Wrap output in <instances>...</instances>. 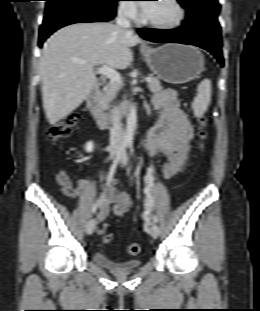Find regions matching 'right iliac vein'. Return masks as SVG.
<instances>
[{
  "label": "right iliac vein",
  "instance_id": "1",
  "mask_svg": "<svg viewBox=\"0 0 260 311\" xmlns=\"http://www.w3.org/2000/svg\"><path fill=\"white\" fill-rule=\"evenodd\" d=\"M118 148L117 147H112L111 153H110V159H115L116 154H117ZM96 228V222L95 219H90L86 225V233L91 235Z\"/></svg>",
  "mask_w": 260,
  "mask_h": 311
}]
</instances>
